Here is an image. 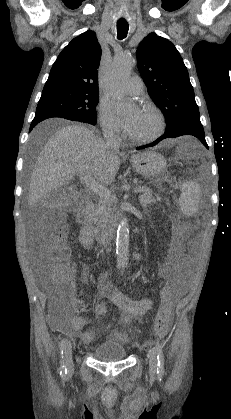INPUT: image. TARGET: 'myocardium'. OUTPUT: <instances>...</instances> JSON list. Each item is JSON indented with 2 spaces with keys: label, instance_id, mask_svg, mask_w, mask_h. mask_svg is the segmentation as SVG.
I'll return each instance as SVG.
<instances>
[{
  "label": "myocardium",
  "instance_id": "obj_1",
  "mask_svg": "<svg viewBox=\"0 0 231 419\" xmlns=\"http://www.w3.org/2000/svg\"><path fill=\"white\" fill-rule=\"evenodd\" d=\"M143 110H148L150 112H152L153 114H155V116L157 117L158 120V129L157 131L147 137H137L132 135L131 133H128L129 138L136 142V143H140V144H148L151 142H154L155 140H157L163 133L165 130V119L164 116L162 114V112L154 105L151 104H145L143 106Z\"/></svg>",
  "mask_w": 231,
  "mask_h": 419
}]
</instances>
